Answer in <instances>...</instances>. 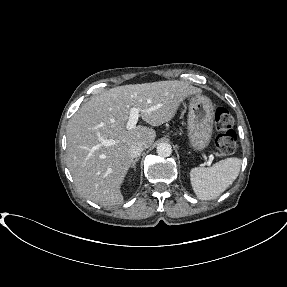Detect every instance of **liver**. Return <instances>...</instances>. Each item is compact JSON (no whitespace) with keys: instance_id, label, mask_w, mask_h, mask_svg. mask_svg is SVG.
Wrapping results in <instances>:
<instances>
[{"instance_id":"obj_1","label":"liver","mask_w":287,"mask_h":287,"mask_svg":"<svg viewBox=\"0 0 287 287\" xmlns=\"http://www.w3.org/2000/svg\"><path fill=\"white\" fill-rule=\"evenodd\" d=\"M194 94L201 90L188 82L158 81L118 86L84 103L66 128L67 166L78 193L101 206L122 204L121 185L133 161L131 145L149 148L156 138V131L146 126L127 129L130 109H139L143 121L159 126ZM101 139L115 144L104 146Z\"/></svg>"}]
</instances>
